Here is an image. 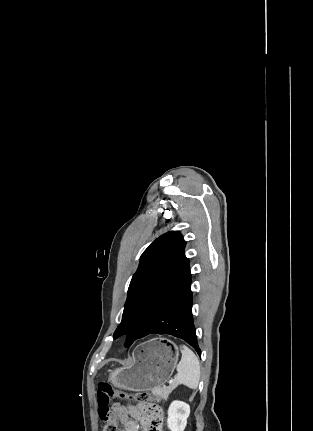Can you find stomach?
<instances>
[{"instance_id":"1","label":"stomach","mask_w":313,"mask_h":431,"mask_svg":"<svg viewBox=\"0 0 313 431\" xmlns=\"http://www.w3.org/2000/svg\"><path fill=\"white\" fill-rule=\"evenodd\" d=\"M178 347L166 338H153L138 345L132 361L109 371L108 381L129 391L160 388L172 376L178 361Z\"/></svg>"}]
</instances>
